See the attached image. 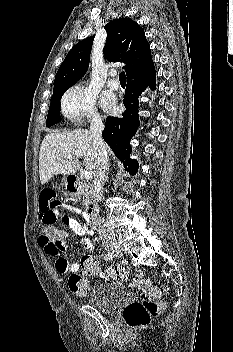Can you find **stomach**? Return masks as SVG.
Returning a JSON list of instances; mask_svg holds the SVG:
<instances>
[{"mask_svg": "<svg viewBox=\"0 0 233 352\" xmlns=\"http://www.w3.org/2000/svg\"><path fill=\"white\" fill-rule=\"evenodd\" d=\"M63 185H66V181H64Z\"/></svg>", "mask_w": 233, "mask_h": 352, "instance_id": "1", "label": "stomach"}]
</instances>
